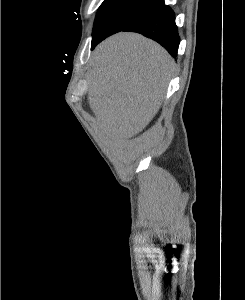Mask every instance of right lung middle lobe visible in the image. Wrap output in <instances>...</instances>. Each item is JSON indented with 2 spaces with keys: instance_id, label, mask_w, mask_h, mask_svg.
Wrapping results in <instances>:
<instances>
[{
  "instance_id": "obj_1",
  "label": "right lung middle lobe",
  "mask_w": 245,
  "mask_h": 300,
  "mask_svg": "<svg viewBox=\"0 0 245 300\" xmlns=\"http://www.w3.org/2000/svg\"><path fill=\"white\" fill-rule=\"evenodd\" d=\"M161 4L159 1L104 0L94 22L92 43L123 30Z\"/></svg>"
}]
</instances>
